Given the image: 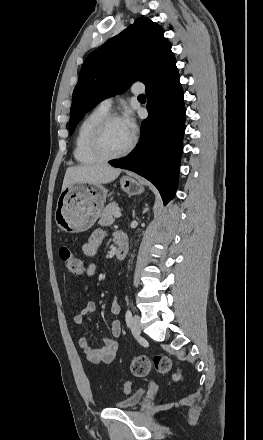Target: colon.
<instances>
[{
  "label": "colon",
  "mask_w": 263,
  "mask_h": 440,
  "mask_svg": "<svg viewBox=\"0 0 263 440\" xmlns=\"http://www.w3.org/2000/svg\"><path fill=\"white\" fill-rule=\"evenodd\" d=\"M59 257L64 265V268L71 274L80 276L84 274L85 267L82 261L74 254L71 248L62 246L59 249ZM171 360L164 354H157L150 358L145 355H140L134 358L131 364V370L135 376L142 377L154 369L160 373H167L171 370ZM179 373H174L173 378L179 379ZM121 389L124 393H129L132 389V383L126 381L122 384Z\"/></svg>",
  "instance_id": "obj_1"
}]
</instances>
